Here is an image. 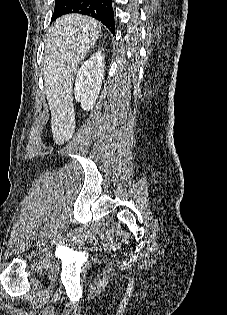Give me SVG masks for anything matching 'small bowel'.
Segmentation results:
<instances>
[{"label":"small bowel","instance_id":"c3829d8e","mask_svg":"<svg viewBox=\"0 0 227 315\" xmlns=\"http://www.w3.org/2000/svg\"><path fill=\"white\" fill-rule=\"evenodd\" d=\"M117 234H118V227L116 226L112 227L106 237V243L108 245H115L117 242Z\"/></svg>","mask_w":227,"mask_h":315}]
</instances>
